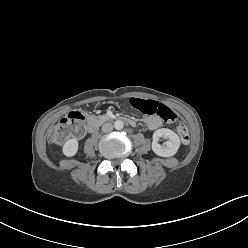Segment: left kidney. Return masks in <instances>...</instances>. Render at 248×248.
Segmentation results:
<instances>
[{"label": "left kidney", "instance_id": "left-kidney-1", "mask_svg": "<svg viewBox=\"0 0 248 248\" xmlns=\"http://www.w3.org/2000/svg\"><path fill=\"white\" fill-rule=\"evenodd\" d=\"M168 139L164 145H160L158 140L160 138ZM180 147V138L172 130L168 128H161L153 133L152 150L161 157H170L177 153Z\"/></svg>", "mask_w": 248, "mask_h": 248}]
</instances>
